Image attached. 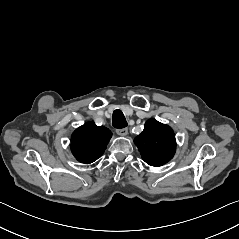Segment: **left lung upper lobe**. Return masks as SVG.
Here are the masks:
<instances>
[{
	"mask_svg": "<svg viewBox=\"0 0 239 239\" xmlns=\"http://www.w3.org/2000/svg\"><path fill=\"white\" fill-rule=\"evenodd\" d=\"M142 159L151 166H162L170 161L176 151L173 130L155 119H149L144 130L135 139Z\"/></svg>",
	"mask_w": 239,
	"mask_h": 239,
	"instance_id": "left-lung-upper-lobe-1",
	"label": "left lung upper lobe"
}]
</instances>
